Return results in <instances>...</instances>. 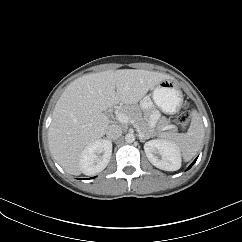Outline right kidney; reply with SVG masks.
Instances as JSON below:
<instances>
[{
	"label": "right kidney",
	"mask_w": 242,
	"mask_h": 242,
	"mask_svg": "<svg viewBox=\"0 0 242 242\" xmlns=\"http://www.w3.org/2000/svg\"><path fill=\"white\" fill-rule=\"evenodd\" d=\"M112 154L110 140L98 139L88 144L80 154L79 164L82 173L95 175L108 165Z\"/></svg>",
	"instance_id": "ca27d5eb"
}]
</instances>
